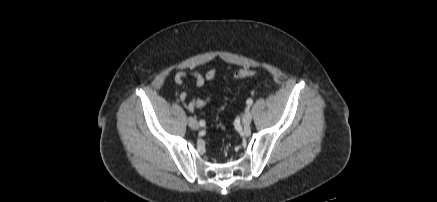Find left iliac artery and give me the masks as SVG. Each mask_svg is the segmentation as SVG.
I'll return each instance as SVG.
<instances>
[{
	"label": "left iliac artery",
	"mask_w": 437,
	"mask_h": 202,
	"mask_svg": "<svg viewBox=\"0 0 437 202\" xmlns=\"http://www.w3.org/2000/svg\"><path fill=\"white\" fill-rule=\"evenodd\" d=\"M246 103H247L248 106H250V105H252L253 101H252V99H248V100L246 101Z\"/></svg>",
	"instance_id": "left-iliac-artery-1"
}]
</instances>
